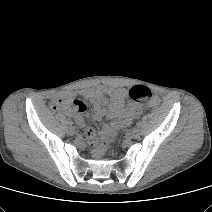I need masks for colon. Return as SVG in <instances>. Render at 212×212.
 Returning <instances> with one entry per match:
<instances>
[{
    "mask_svg": "<svg viewBox=\"0 0 212 212\" xmlns=\"http://www.w3.org/2000/svg\"><path fill=\"white\" fill-rule=\"evenodd\" d=\"M128 96L135 101H144L151 106H158L160 101L154 96L150 89L143 85H136L129 89ZM54 109L63 111L83 112L86 109L85 104L80 100L70 98H59L56 100ZM109 147L108 141H104L100 147L101 150H106Z\"/></svg>",
    "mask_w": 212,
    "mask_h": 212,
    "instance_id": "5ec220e1",
    "label": "colon"
}]
</instances>
